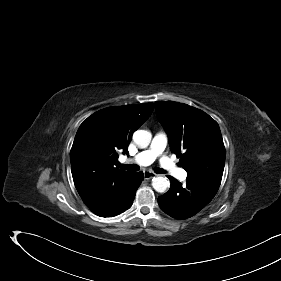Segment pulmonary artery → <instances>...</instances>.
<instances>
[{"label":"pulmonary artery","instance_id":"pulmonary-artery-1","mask_svg":"<svg viewBox=\"0 0 281 281\" xmlns=\"http://www.w3.org/2000/svg\"><path fill=\"white\" fill-rule=\"evenodd\" d=\"M167 144L168 137L166 133L158 132L154 135L149 148L138 153L130 161L139 165L147 166L156 158L160 157V165L164 170L177 179L184 180L187 177L186 171L177 167L169 158L162 156Z\"/></svg>","mask_w":281,"mask_h":281}]
</instances>
